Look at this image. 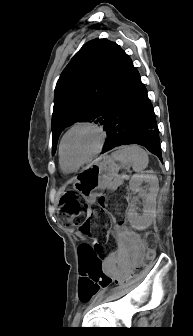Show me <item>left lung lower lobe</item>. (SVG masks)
I'll use <instances>...</instances> for the list:
<instances>
[{"label":"left lung lower lobe","instance_id":"1","mask_svg":"<svg viewBox=\"0 0 193 336\" xmlns=\"http://www.w3.org/2000/svg\"><path fill=\"white\" fill-rule=\"evenodd\" d=\"M103 126L107 139L102 153L117 146L137 144L146 147L162 161L154 110L139 73L129 57Z\"/></svg>","mask_w":193,"mask_h":336}]
</instances>
